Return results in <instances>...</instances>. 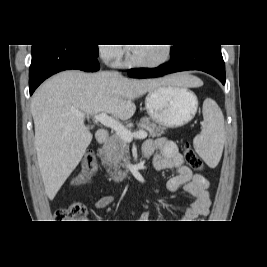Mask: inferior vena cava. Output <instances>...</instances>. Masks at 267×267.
<instances>
[{"label":"inferior vena cava","mask_w":267,"mask_h":267,"mask_svg":"<svg viewBox=\"0 0 267 267\" xmlns=\"http://www.w3.org/2000/svg\"><path fill=\"white\" fill-rule=\"evenodd\" d=\"M109 60V58H107V61ZM112 74H114V75H119V73L118 72H112Z\"/></svg>","instance_id":"1"}]
</instances>
